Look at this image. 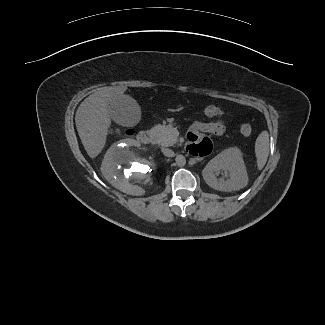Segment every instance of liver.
Segmentation results:
<instances>
[{
  "instance_id": "6515ba94",
  "label": "liver",
  "mask_w": 325,
  "mask_h": 325,
  "mask_svg": "<svg viewBox=\"0 0 325 325\" xmlns=\"http://www.w3.org/2000/svg\"><path fill=\"white\" fill-rule=\"evenodd\" d=\"M125 91L124 86L101 87L78 107L75 115L76 128L90 158L97 157L106 144L111 127L108 104L118 97H130L124 94Z\"/></svg>"
}]
</instances>
